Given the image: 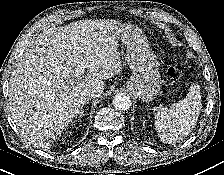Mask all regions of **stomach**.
I'll use <instances>...</instances> for the list:
<instances>
[{
  "label": "stomach",
  "instance_id": "stomach-1",
  "mask_svg": "<svg viewBox=\"0 0 224 175\" xmlns=\"http://www.w3.org/2000/svg\"><path fill=\"white\" fill-rule=\"evenodd\" d=\"M118 38L126 47L125 59L133 72L125 84L126 88L142 101L148 102L162 85L157 56L150 48L143 31L136 26L125 25Z\"/></svg>",
  "mask_w": 224,
  "mask_h": 175
}]
</instances>
